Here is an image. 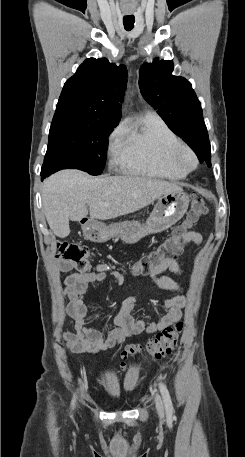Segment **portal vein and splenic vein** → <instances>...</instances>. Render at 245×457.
Segmentation results:
<instances>
[{"label": "portal vein and splenic vein", "mask_w": 245, "mask_h": 457, "mask_svg": "<svg viewBox=\"0 0 245 457\" xmlns=\"http://www.w3.org/2000/svg\"><path fill=\"white\" fill-rule=\"evenodd\" d=\"M104 204H108V202H104Z\"/></svg>", "instance_id": "1"}]
</instances>
